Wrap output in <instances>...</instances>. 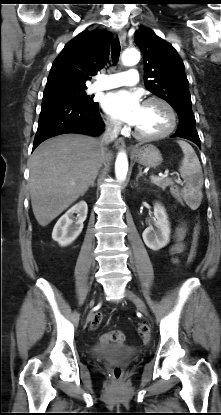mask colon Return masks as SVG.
Segmentation results:
<instances>
[{
	"mask_svg": "<svg viewBox=\"0 0 221 415\" xmlns=\"http://www.w3.org/2000/svg\"><path fill=\"white\" fill-rule=\"evenodd\" d=\"M170 194L174 195V199L177 200L180 204L181 208L185 207V204L182 203L183 199L182 192L179 190L178 184H173L172 188L170 189ZM199 238H200V225L197 224L194 230L193 241L191 245V249L188 256V264H192L197 256V249L199 245ZM102 316L100 313H96L91 321V327L96 329L101 323ZM138 335L146 340L149 337V328L146 324L140 323L137 328ZM109 340L115 341L119 344H122L125 341V335L120 330H113L108 334L103 335L101 341L103 343L108 342ZM112 377L115 380H119L122 377V369L118 366L114 367L111 371Z\"/></svg>",
	"mask_w": 221,
	"mask_h": 415,
	"instance_id": "1",
	"label": "colon"
}]
</instances>
